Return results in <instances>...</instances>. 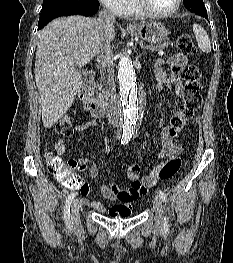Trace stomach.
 I'll return each instance as SVG.
<instances>
[{
  "instance_id": "0dacf381",
  "label": "stomach",
  "mask_w": 233,
  "mask_h": 263,
  "mask_svg": "<svg viewBox=\"0 0 233 263\" xmlns=\"http://www.w3.org/2000/svg\"><path fill=\"white\" fill-rule=\"evenodd\" d=\"M128 32L151 44H160L164 42L168 36V30L160 22L137 24L133 28L128 29Z\"/></svg>"
}]
</instances>
